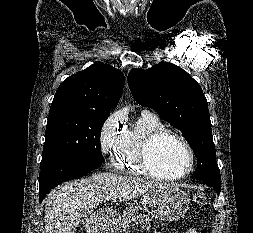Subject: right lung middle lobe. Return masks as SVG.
Instances as JSON below:
<instances>
[{
    "label": "right lung middle lobe",
    "instance_id": "obj_1",
    "mask_svg": "<svg viewBox=\"0 0 253 233\" xmlns=\"http://www.w3.org/2000/svg\"><path fill=\"white\" fill-rule=\"evenodd\" d=\"M109 114L82 108H50L40 167L59 160L102 164L100 133Z\"/></svg>",
    "mask_w": 253,
    "mask_h": 233
}]
</instances>
